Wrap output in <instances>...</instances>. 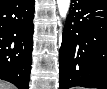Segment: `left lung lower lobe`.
<instances>
[{
	"label": "left lung lower lobe",
	"mask_w": 107,
	"mask_h": 89,
	"mask_svg": "<svg viewBox=\"0 0 107 89\" xmlns=\"http://www.w3.org/2000/svg\"><path fill=\"white\" fill-rule=\"evenodd\" d=\"M107 89V0H71L60 49V87Z\"/></svg>",
	"instance_id": "left-lung-lower-lobe-1"
}]
</instances>
